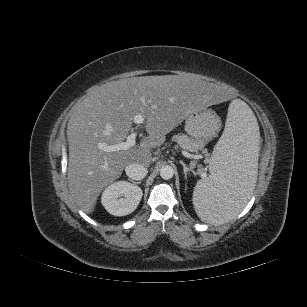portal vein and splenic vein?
<instances>
[{"mask_svg": "<svg viewBox=\"0 0 307 307\" xmlns=\"http://www.w3.org/2000/svg\"><path fill=\"white\" fill-rule=\"evenodd\" d=\"M133 121L137 125H141L144 123V117L142 114H137L134 116ZM136 136H137V131L132 132L127 136V139L125 142H121L118 144H113V145H106L103 143H99L98 147L99 149L110 153V152H115V151H120V150H128L129 148L135 146L136 144ZM202 177H206V173H202Z\"/></svg>", "mask_w": 307, "mask_h": 307, "instance_id": "obj_1", "label": "portal vein and splenic vein"}]
</instances>
